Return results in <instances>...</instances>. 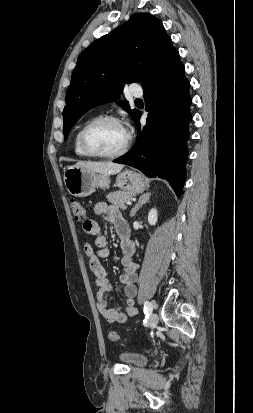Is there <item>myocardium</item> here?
<instances>
[{
	"label": "myocardium",
	"mask_w": 253,
	"mask_h": 413,
	"mask_svg": "<svg viewBox=\"0 0 253 413\" xmlns=\"http://www.w3.org/2000/svg\"><path fill=\"white\" fill-rule=\"evenodd\" d=\"M105 122H114L122 126L126 131V141L121 149L113 153H99L94 151L88 142V135L89 132L98 124L105 123ZM80 146L82 150L89 156L97 157V158H116L124 155L130 149L132 144V136L124 127L122 121L113 115H101L91 119L81 130L80 137Z\"/></svg>",
	"instance_id": "1"
}]
</instances>
